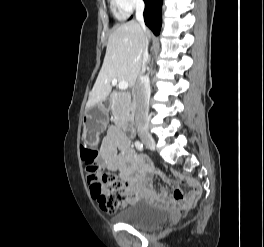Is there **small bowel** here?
<instances>
[{"instance_id":"obj_1","label":"small bowel","mask_w":264,"mask_h":247,"mask_svg":"<svg viewBox=\"0 0 264 247\" xmlns=\"http://www.w3.org/2000/svg\"><path fill=\"white\" fill-rule=\"evenodd\" d=\"M99 160L101 166L110 171H118L127 186L129 194L134 199L148 197L163 204L173 205L177 201L192 198L200 193L199 183L190 177L176 174L177 177L187 185L183 190L171 183L174 191L170 194L163 189L157 194L150 185L154 175L164 179V176L154 170L150 161L136 153L131 147L129 138L121 131L119 126H110L106 137L103 139L99 149ZM198 200V199H197Z\"/></svg>"}]
</instances>
